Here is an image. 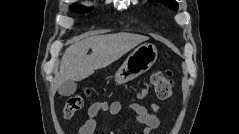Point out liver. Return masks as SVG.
Here are the masks:
<instances>
[{
  "instance_id": "obj_1",
  "label": "liver",
  "mask_w": 239,
  "mask_h": 134,
  "mask_svg": "<svg viewBox=\"0 0 239 134\" xmlns=\"http://www.w3.org/2000/svg\"><path fill=\"white\" fill-rule=\"evenodd\" d=\"M148 40V37L131 33L96 35L69 46L60 64L58 83L81 81L95 70L105 68L128 51ZM92 53L87 55L89 49Z\"/></svg>"
}]
</instances>
